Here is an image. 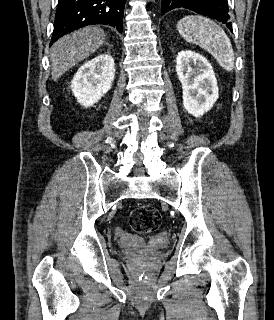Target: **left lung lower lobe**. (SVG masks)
<instances>
[{
  "mask_svg": "<svg viewBox=\"0 0 274 320\" xmlns=\"http://www.w3.org/2000/svg\"><path fill=\"white\" fill-rule=\"evenodd\" d=\"M181 7L217 19L232 31L227 0H162L161 14Z\"/></svg>",
  "mask_w": 274,
  "mask_h": 320,
  "instance_id": "0a47b994",
  "label": "left lung lower lobe"
}]
</instances>
